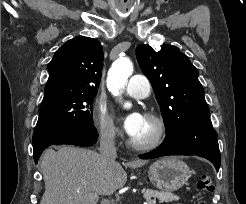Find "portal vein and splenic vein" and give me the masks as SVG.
<instances>
[{
    "label": "portal vein and splenic vein",
    "instance_id": "18ae733b",
    "mask_svg": "<svg viewBox=\"0 0 246 204\" xmlns=\"http://www.w3.org/2000/svg\"><path fill=\"white\" fill-rule=\"evenodd\" d=\"M147 202L148 203H145V204H155L156 200L149 199V200H147Z\"/></svg>",
    "mask_w": 246,
    "mask_h": 204
}]
</instances>
